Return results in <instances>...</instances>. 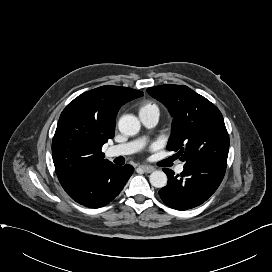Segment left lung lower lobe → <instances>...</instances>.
<instances>
[{
    "label": "left lung lower lobe",
    "instance_id": "obj_1",
    "mask_svg": "<svg viewBox=\"0 0 272 272\" xmlns=\"http://www.w3.org/2000/svg\"><path fill=\"white\" fill-rule=\"evenodd\" d=\"M227 163L196 162L185 164L183 172L174 176L170 169H163L168 183L159 191L166 205L176 210H187L204 203L219 187Z\"/></svg>",
    "mask_w": 272,
    "mask_h": 272
}]
</instances>
